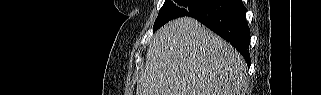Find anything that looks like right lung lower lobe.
<instances>
[{
  "label": "right lung lower lobe",
  "mask_w": 321,
  "mask_h": 95,
  "mask_svg": "<svg viewBox=\"0 0 321 95\" xmlns=\"http://www.w3.org/2000/svg\"><path fill=\"white\" fill-rule=\"evenodd\" d=\"M187 16L197 19L230 42L250 66V30L246 21V8L241 0H211Z\"/></svg>",
  "instance_id": "1"
}]
</instances>
